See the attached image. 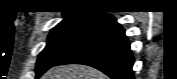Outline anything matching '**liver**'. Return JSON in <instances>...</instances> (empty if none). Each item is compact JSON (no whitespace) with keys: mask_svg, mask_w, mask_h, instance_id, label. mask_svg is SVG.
I'll use <instances>...</instances> for the list:
<instances>
[{"mask_svg":"<svg viewBox=\"0 0 177 79\" xmlns=\"http://www.w3.org/2000/svg\"><path fill=\"white\" fill-rule=\"evenodd\" d=\"M42 79H107V77L89 66L63 65L51 68Z\"/></svg>","mask_w":177,"mask_h":79,"instance_id":"1","label":"liver"}]
</instances>
